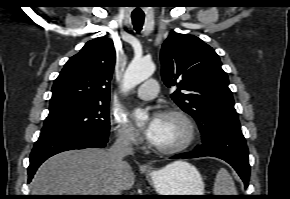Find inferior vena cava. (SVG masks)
I'll return each mask as SVG.
<instances>
[{
    "label": "inferior vena cava",
    "instance_id": "obj_1",
    "mask_svg": "<svg viewBox=\"0 0 290 199\" xmlns=\"http://www.w3.org/2000/svg\"><path fill=\"white\" fill-rule=\"evenodd\" d=\"M110 153L114 158L118 170H121L127 162L123 158L128 155H133L132 136L129 132H120L115 143L110 148ZM112 195H121L119 190H116Z\"/></svg>",
    "mask_w": 290,
    "mask_h": 199
}]
</instances>
